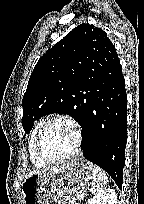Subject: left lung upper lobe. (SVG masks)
Returning a JSON list of instances; mask_svg holds the SVG:
<instances>
[{
  "label": "left lung upper lobe",
  "mask_w": 144,
  "mask_h": 204,
  "mask_svg": "<svg viewBox=\"0 0 144 204\" xmlns=\"http://www.w3.org/2000/svg\"><path fill=\"white\" fill-rule=\"evenodd\" d=\"M118 55L107 34L81 24L49 49L36 64L23 97V129L31 131L42 116L71 115L81 126L86 118V98L93 69Z\"/></svg>",
  "instance_id": "left-lung-upper-lobe-1"
}]
</instances>
